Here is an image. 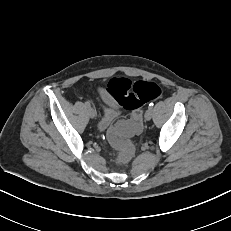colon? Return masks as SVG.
Instances as JSON below:
<instances>
[{"label": "colon", "instance_id": "colon-1", "mask_svg": "<svg viewBox=\"0 0 231 231\" xmlns=\"http://www.w3.org/2000/svg\"><path fill=\"white\" fill-rule=\"evenodd\" d=\"M107 93L120 106L132 112L128 119V128L115 126L108 134L111 145L118 150L117 160L126 163L131 160L135 152L127 136L140 129L141 107L150 100L160 97L162 88L152 81L140 80L133 83L127 78L114 77L108 83Z\"/></svg>", "mask_w": 231, "mask_h": 231}]
</instances>
